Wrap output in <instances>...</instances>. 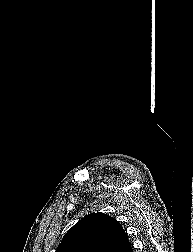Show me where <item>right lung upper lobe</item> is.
Wrapping results in <instances>:
<instances>
[{"mask_svg":"<svg viewBox=\"0 0 193 252\" xmlns=\"http://www.w3.org/2000/svg\"><path fill=\"white\" fill-rule=\"evenodd\" d=\"M56 252H133L127 235L114 218L92 213L64 235Z\"/></svg>","mask_w":193,"mask_h":252,"instance_id":"right-lung-upper-lobe-1","label":"right lung upper lobe"}]
</instances>
